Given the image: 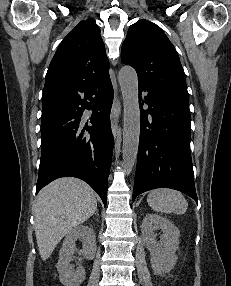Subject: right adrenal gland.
<instances>
[{
  "instance_id": "obj_1",
  "label": "right adrenal gland",
  "mask_w": 231,
  "mask_h": 286,
  "mask_svg": "<svg viewBox=\"0 0 231 286\" xmlns=\"http://www.w3.org/2000/svg\"><path fill=\"white\" fill-rule=\"evenodd\" d=\"M95 214L98 216L99 215V213H98V210L96 209V212H95Z\"/></svg>"
}]
</instances>
